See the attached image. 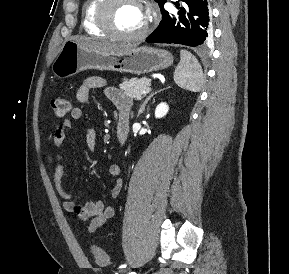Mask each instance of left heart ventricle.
Returning a JSON list of instances; mask_svg holds the SVG:
<instances>
[{"instance_id": "obj_1", "label": "left heart ventricle", "mask_w": 289, "mask_h": 274, "mask_svg": "<svg viewBox=\"0 0 289 274\" xmlns=\"http://www.w3.org/2000/svg\"><path fill=\"white\" fill-rule=\"evenodd\" d=\"M146 20L143 7L130 2L117 4L111 17L114 28L123 34L137 33L144 27Z\"/></svg>"}]
</instances>
